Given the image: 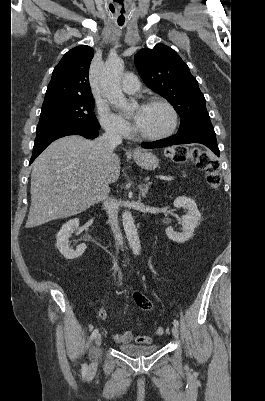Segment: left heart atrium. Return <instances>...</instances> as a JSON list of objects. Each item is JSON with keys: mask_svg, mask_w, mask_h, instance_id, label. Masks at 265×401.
Here are the masks:
<instances>
[{"mask_svg": "<svg viewBox=\"0 0 265 401\" xmlns=\"http://www.w3.org/2000/svg\"><path fill=\"white\" fill-rule=\"evenodd\" d=\"M140 114H141V112L138 113L137 117H139ZM137 117H136V119H137Z\"/></svg>", "mask_w": 265, "mask_h": 401, "instance_id": "1", "label": "left heart atrium"}]
</instances>
